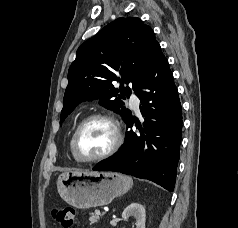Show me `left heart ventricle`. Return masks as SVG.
Returning <instances> with one entry per match:
<instances>
[{
  "label": "left heart ventricle",
  "instance_id": "1",
  "mask_svg": "<svg viewBox=\"0 0 238 228\" xmlns=\"http://www.w3.org/2000/svg\"><path fill=\"white\" fill-rule=\"evenodd\" d=\"M114 141L111 125L104 120H93L81 130L77 140V152L81 158H93L109 149Z\"/></svg>",
  "mask_w": 238,
  "mask_h": 228
}]
</instances>
